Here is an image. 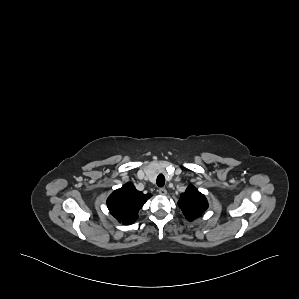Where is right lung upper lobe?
Segmentation results:
<instances>
[{
	"mask_svg": "<svg viewBox=\"0 0 299 299\" xmlns=\"http://www.w3.org/2000/svg\"><path fill=\"white\" fill-rule=\"evenodd\" d=\"M150 197L151 194H143L132 183H127L109 196L107 205L119 222L130 225L136 221L139 210Z\"/></svg>",
	"mask_w": 299,
	"mask_h": 299,
	"instance_id": "obj_1",
	"label": "right lung upper lobe"
}]
</instances>
